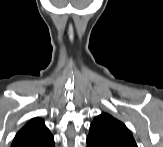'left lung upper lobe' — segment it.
Instances as JSON below:
<instances>
[{"mask_svg": "<svg viewBox=\"0 0 163 147\" xmlns=\"http://www.w3.org/2000/svg\"><path fill=\"white\" fill-rule=\"evenodd\" d=\"M89 133L99 137L127 140L135 143L128 128L121 121L107 113H102L94 118Z\"/></svg>", "mask_w": 163, "mask_h": 147, "instance_id": "1", "label": "left lung upper lobe"}]
</instances>
